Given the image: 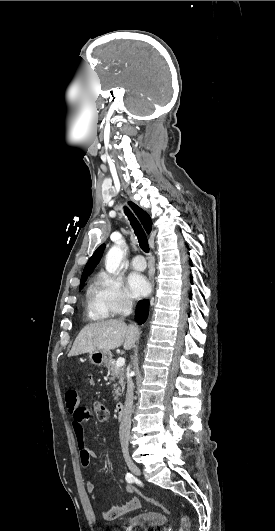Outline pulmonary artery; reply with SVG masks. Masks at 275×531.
Segmentation results:
<instances>
[{"mask_svg": "<svg viewBox=\"0 0 275 531\" xmlns=\"http://www.w3.org/2000/svg\"><path fill=\"white\" fill-rule=\"evenodd\" d=\"M131 266L135 270H144L146 268V262L142 255H136L131 260Z\"/></svg>", "mask_w": 275, "mask_h": 531, "instance_id": "1", "label": "pulmonary artery"}]
</instances>
